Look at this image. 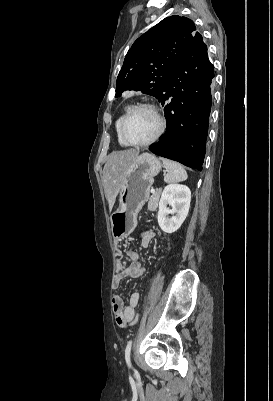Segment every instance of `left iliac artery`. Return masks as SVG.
Here are the masks:
<instances>
[{
    "label": "left iliac artery",
    "instance_id": "left-iliac-artery-1",
    "mask_svg": "<svg viewBox=\"0 0 273 401\" xmlns=\"http://www.w3.org/2000/svg\"><path fill=\"white\" fill-rule=\"evenodd\" d=\"M131 346H132V341H128L126 349H125V360L128 365V367H131V362H130V351H131Z\"/></svg>",
    "mask_w": 273,
    "mask_h": 401
}]
</instances>
